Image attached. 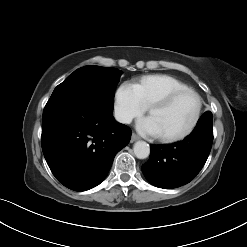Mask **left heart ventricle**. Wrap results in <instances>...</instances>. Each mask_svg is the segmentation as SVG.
<instances>
[{
    "label": "left heart ventricle",
    "mask_w": 247,
    "mask_h": 247,
    "mask_svg": "<svg viewBox=\"0 0 247 247\" xmlns=\"http://www.w3.org/2000/svg\"><path fill=\"white\" fill-rule=\"evenodd\" d=\"M198 107L197 98L184 94L167 108L154 109L149 113L160 135L173 136L183 132L192 123Z\"/></svg>",
    "instance_id": "obj_1"
}]
</instances>
